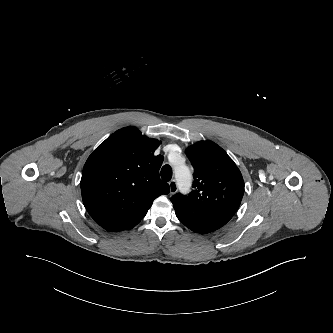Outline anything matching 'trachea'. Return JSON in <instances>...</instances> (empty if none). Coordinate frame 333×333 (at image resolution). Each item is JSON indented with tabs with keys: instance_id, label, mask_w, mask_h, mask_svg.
<instances>
[{
	"instance_id": "3493384b",
	"label": "trachea",
	"mask_w": 333,
	"mask_h": 333,
	"mask_svg": "<svg viewBox=\"0 0 333 333\" xmlns=\"http://www.w3.org/2000/svg\"><path fill=\"white\" fill-rule=\"evenodd\" d=\"M161 178L164 181H170L172 178V169L169 165H165L161 169Z\"/></svg>"
}]
</instances>
